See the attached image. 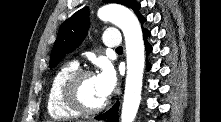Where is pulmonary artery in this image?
I'll return each instance as SVG.
<instances>
[{
    "instance_id": "pulmonary-artery-1",
    "label": "pulmonary artery",
    "mask_w": 221,
    "mask_h": 122,
    "mask_svg": "<svg viewBox=\"0 0 221 122\" xmlns=\"http://www.w3.org/2000/svg\"><path fill=\"white\" fill-rule=\"evenodd\" d=\"M102 42L107 47L117 48L121 44V38L116 30H107L102 36Z\"/></svg>"
}]
</instances>
